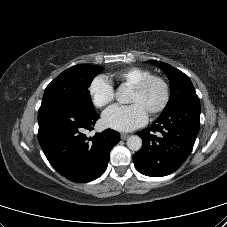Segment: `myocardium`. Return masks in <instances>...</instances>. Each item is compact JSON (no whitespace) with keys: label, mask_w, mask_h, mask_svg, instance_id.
I'll list each match as a JSON object with an SVG mask.
<instances>
[{"label":"myocardium","mask_w":227,"mask_h":227,"mask_svg":"<svg viewBox=\"0 0 227 227\" xmlns=\"http://www.w3.org/2000/svg\"><path fill=\"white\" fill-rule=\"evenodd\" d=\"M154 82H157L161 85L163 90V98L158 106L149 111L150 115H157L163 112L168 106L171 98V88L168 81L163 76L150 75L133 85V89L135 91L144 92Z\"/></svg>","instance_id":"myocardium-1"}]
</instances>
